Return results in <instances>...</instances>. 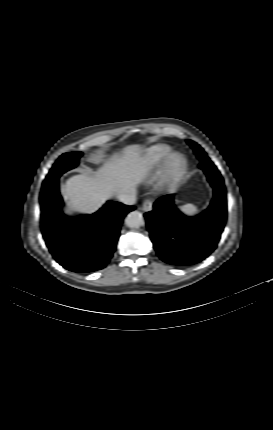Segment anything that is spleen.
I'll use <instances>...</instances> for the list:
<instances>
[{"label": "spleen", "mask_w": 273, "mask_h": 430, "mask_svg": "<svg viewBox=\"0 0 273 430\" xmlns=\"http://www.w3.org/2000/svg\"><path fill=\"white\" fill-rule=\"evenodd\" d=\"M179 211L186 217H194L198 214V206L194 204H186L179 207Z\"/></svg>", "instance_id": "obj_1"}]
</instances>
